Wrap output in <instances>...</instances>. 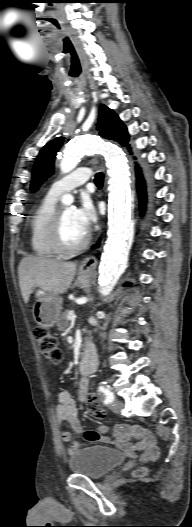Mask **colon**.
Returning a JSON list of instances; mask_svg holds the SVG:
<instances>
[{
    "mask_svg": "<svg viewBox=\"0 0 192 527\" xmlns=\"http://www.w3.org/2000/svg\"><path fill=\"white\" fill-rule=\"evenodd\" d=\"M33 334L40 353L53 364L60 363L62 360V352L57 338L46 328L40 326L34 328ZM85 401L87 411L92 418L102 420L106 417L99 399L94 392L89 391L86 394ZM145 473V470L138 471L139 475H144Z\"/></svg>",
    "mask_w": 192,
    "mask_h": 527,
    "instance_id": "obj_1",
    "label": "colon"
}]
</instances>
